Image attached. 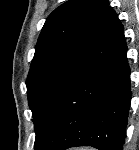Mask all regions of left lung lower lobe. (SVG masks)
Masks as SVG:
<instances>
[{"label":"left lung lower lobe","mask_w":139,"mask_h":150,"mask_svg":"<svg viewBox=\"0 0 139 150\" xmlns=\"http://www.w3.org/2000/svg\"><path fill=\"white\" fill-rule=\"evenodd\" d=\"M126 52L123 26L111 8L54 99L36 150L122 149L131 101Z\"/></svg>","instance_id":"1"}]
</instances>
